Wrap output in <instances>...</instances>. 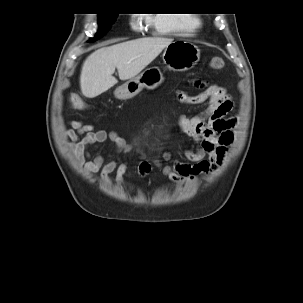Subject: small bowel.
<instances>
[{
	"mask_svg": "<svg viewBox=\"0 0 303 303\" xmlns=\"http://www.w3.org/2000/svg\"><path fill=\"white\" fill-rule=\"evenodd\" d=\"M177 96L184 105H205L201 112L184 115L179 119V131L194 142V147L186 150V156L195 164L177 161L164 166L157 163L155 165L161 168L170 182L185 184L202 173L214 171L221 164L233 141L234 122L224 120V116L232 108V101L226 90L218 85L208 86L196 95L178 91ZM68 125L70 129L64 132L63 137L70 142V150L75 161L88 174L97 173L106 184L112 181L117 184L123 183L129 162H106L105 155L111 152L127 153L132 150H135L141 159L137 166V174L146 178L151 173L152 164L145 160L141 148L128 143L117 132L95 129L93 124L83 121H69ZM107 141L113 142L114 145L92 157V151L100 150Z\"/></svg>",
	"mask_w": 303,
	"mask_h": 303,
	"instance_id": "obj_1",
	"label": "small bowel"
}]
</instances>
